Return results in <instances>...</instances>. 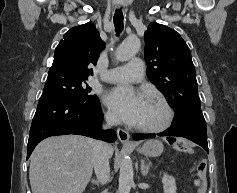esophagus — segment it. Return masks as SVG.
I'll list each match as a JSON object with an SVG mask.
<instances>
[{"label": "esophagus", "instance_id": "1", "mask_svg": "<svg viewBox=\"0 0 237 193\" xmlns=\"http://www.w3.org/2000/svg\"><path fill=\"white\" fill-rule=\"evenodd\" d=\"M117 135L121 143L132 145V142L130 141V134L126 130L118 128Z\"/></svg>", "mask_w": 237, "mask_h": 193}]
</instances>
